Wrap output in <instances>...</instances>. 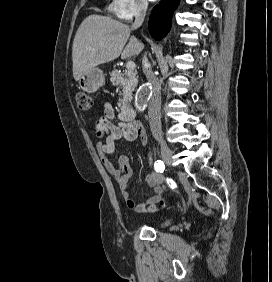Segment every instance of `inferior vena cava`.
Returning a JSON list of instances; mask_svg holds the SVG:
<instances>
[{
    "instance_id": "obj_1",
    "label": "inferior vena cava",
    "mask_w": 272,
    "mask_h": 282,
    "mask_svg": "<svg viewBox=\"0 0 272 282\" xmlns=\"http://www.w3.org/2000/svg\"><path fill=\"white\" fill-rule=\"evenodd\" d=\"M147 3H140L135 13V21L132 24L131 29H138L144 21L147 11ZM143 72L150 85V100H149V123L153 137L156 140H162V128H161V84L158 79L155 78L151 65L146 56L142 60Z\"/></svg>"
}]
</instances>
